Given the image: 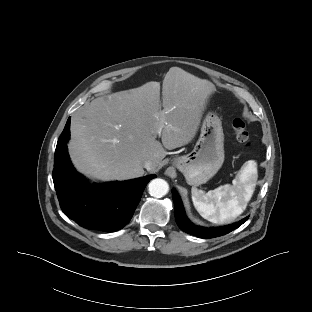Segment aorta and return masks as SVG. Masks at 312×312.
<instances>
[{"mask_svg":"<svg viewBox=\"0 0 312 312\" xmlns=\"http://www.w3.org/2000/svg\"><path fill=\"white\" fill-rule=\"evenodd\" d=\"M169 185L163 179H154L149 183V194L153 197L160 198L168 193Z\"/></svg>","mask_w":312,"mask_h":312,"instance_id":"aorta-1","label":"aorta"}]
</instances>
